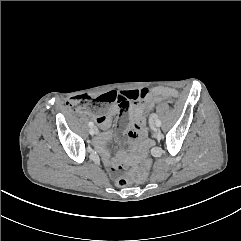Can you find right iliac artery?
Here are the masks:
<instances>
[{
    "instance_id": "obj_1",
    "label": "right iliac artery",
    "mask_w": 241,
    "mask_h": 241,
    "mask_svg": "<svg viewBox=\"0 0 241 241\" xmlns=\"http://www.w3.org/2000/svg\"><path fill=\"white\" fill-rule=\"evenodd\" d=\"M88 125H89L90 127H93V126H94V123H93V122H89Z\"/></svg>"
}]
</instances>
